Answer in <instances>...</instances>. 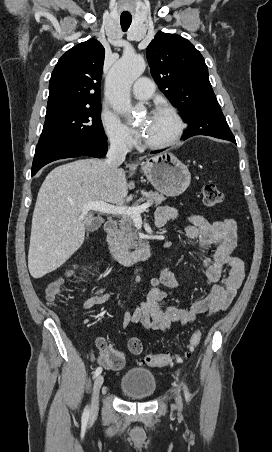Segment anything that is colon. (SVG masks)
Returning a JSON list of instances; mask_svg holds the SVG:
<instances>
[{
  "label": "colon",
  "mask_w": 272,
  "mask_h": 452,
  "mask_svg": "<svg viewBox=\"0 0 272 452\" xmlns=\"http://www.w3.org/2000/svg\"><path fill=\"white\" fill-rule=\"evenodd\" d=\"M203 202L208 207H214L220 205L224 202L223 192L214 184L207 183L202 189ZM73 276V271L66 273L65 277L58 278L53 281L46 291V297L50 304H53L63 292V284L65 278H71ZM201 330L197 329L192 333L187 344V352H192L200 343L201 340ZM97 346L100 351L99 362L103 364L107 369H118L123 365V357L120 353L109 350L105 341H99ZM128 348L130 352L134 355H139L142 352V344L139 340H131L128 343ZM175 360V357L170 354H149L145 356L141 362L143 364L153 366V367H164L171 365Z\"/></svg>",
  "instance_id": "obj_1"
}]
</instances>
